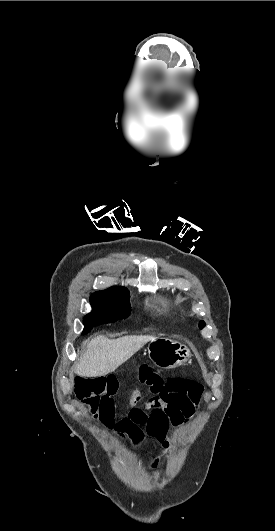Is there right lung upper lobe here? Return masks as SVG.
Segmentation results:
<instances>
[{
  "label": "right lung upper lobe",
  "instance_id": "cb5924a9",
  "mask_svg": "<svg viewBox=\"0 0 275 531\" xmlns=\"http://www.w3.org/2000/svg\"><path fill=\"white\" fill-rule=\"evenodd\" d=\"M111 288H115V289H126L124 287H111Z\"/></svg>",
  "mask_w": 275,
  "mask_h": 531
}]
</instances>
